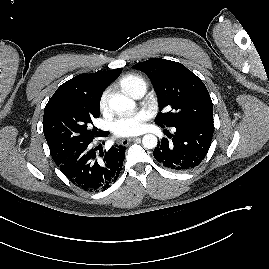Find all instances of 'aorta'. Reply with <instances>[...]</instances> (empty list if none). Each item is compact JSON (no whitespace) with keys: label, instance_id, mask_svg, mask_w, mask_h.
Instances as JSON below:
<instances>
[{"label":"aorta","instance_id":"obj_1","mask_svg":"<svg viewBox=\"0 0 269 269\" xmlns=\"http://www.w3.org/2000/svg\"><path fill=\"white\" fill-rule=\"evenodd\" d=\"M109 107L117 113H123L135 108V102L124 95H113L109 101ZM157 137L153 134L143 136L142 144L146 149H153L157 146Z\"/></svg>","mask_w":269,"mask_h":269}]
</instances>
